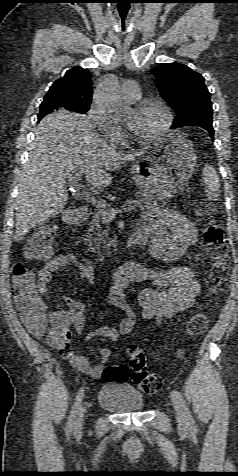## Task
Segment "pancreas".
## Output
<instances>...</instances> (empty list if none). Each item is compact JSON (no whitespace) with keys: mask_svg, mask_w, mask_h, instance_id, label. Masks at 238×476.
<instances>
[{"mask_svg":"<svg viewBox=\"0 0 238 476\" xmlns=\"http://www.w3.org/2000/svg\"><path fill=\"white\" fill-rule=\"evenodd\" d=\"M134 205L147 210H160L161 206L155 198L144 195H141L138 200L134 201ZM106 223L107 222L103 218L101 211L99 209L95 210L90 222V227L84 239V242L88 244L90 251H96L99 256L102 255L101 244H103L102 248L104 249V252L110 254L111 247L114 243L113 240H110L109 242L106 241L107 238L105 236V231L102 228Z\"/></svg>","mask_w":238,"mask_h":476,"instance_id":"obj_1","label":"pancreas"}]
</instances>
